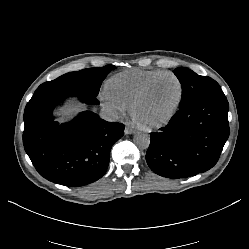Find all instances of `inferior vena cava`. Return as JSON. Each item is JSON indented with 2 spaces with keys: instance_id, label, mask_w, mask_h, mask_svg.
<instances>
[{
  "instance_id": "inferior-vena-cava-1",
  "label": "inferior vena cava",
  "mask_w": 249,
  "mask_h": 249,
  "mask_svg": "<svg viewBox=\"0 0 249 249\" xmlns=\"http://www.w3.org/2000/svg\"><path fill=\"white\" fill-rule=\"evenodd\" d=\"M99 116L101 119L108 122H114L118 120V113L109 106L102 107L99 112Z\"/></svg>"
}]
</instances>
